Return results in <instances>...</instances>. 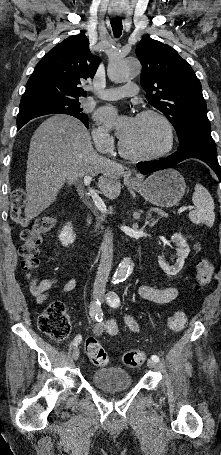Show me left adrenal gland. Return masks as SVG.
Here are the masks:
<instances>
[{
	"instance_id": "1",
	"label": "left adrenal gland",
	"mask_w": 221,
	"mask_h": 455,
	"mask_svg": "<svg viewBox=\"0 0 221 455\" xmlns=\"http://www.w3.org/2000/svg\"><path fill=\"white\" fill-rule=\"evenodd\" d=\"M146 218H147V222H146V223L149 224L150 227L155 226V224H156V223L158 222V220H159V218L156 219V220H155V219H151V218H152V213H151V211L148 212Z\"/></svg>"
}]
</instances>
